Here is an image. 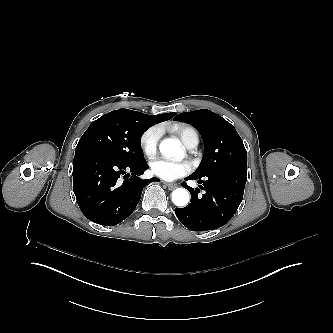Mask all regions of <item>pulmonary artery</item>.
Returning a JSON list of instances; mask_svg holds the SVG:
<instances>
[{
	"label": "pulmonary artery",
	"mask_w": 333,
	"mask_h": 333,
	"mask_svg": "<svg viewBox=\"0 0 333 333\" xmlns=\"http://www.w3.org/2000/svg\"><path fill=\"white\" fill-rule=\"evenodd\" d=\"M197 145H198V138L197 137H192L191 139H190V142L188 143V148L189 149H194V148H196L197 147Z\"/></svg>",
	"instance_id": "obj_1"
}]
</instances>
